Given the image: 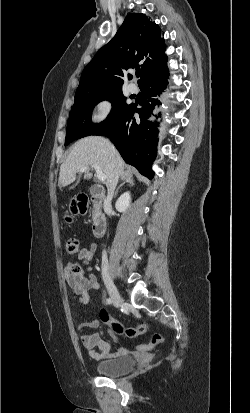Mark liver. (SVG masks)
<instances>
[{
    "label": "liver",
    "mask_w": 250,
    "mask_h": 413,
    "mask_svg": "<svg viewBox=\"0 0 250 413\" xmlns=\"http://www.w3.org/2000/svg\"><path fill=\"white\" fill-rule=\"evenodd\" d=\"M115 147L111 142L101 136L85 137L73 146L66 161L60 166L59 184L63 187L76 180V174L84 166L88 168L98 165L106 176V186L109 187L115 174L118 178L129 174L124 171V161L120 154L113 152ZM92 173L87 169L84 179H91Z\"/></svg>",
    "instance_id": "6515ba94"
}]
</instances>
